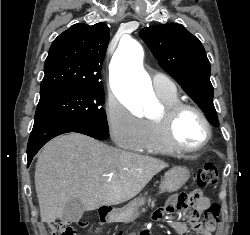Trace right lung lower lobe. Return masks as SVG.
Returning <instances> with one entry per match:
<instances>
[{"label": "right lung lower lobe", "mask_w": 250, "mask_h": 235, "mask_svg": "<svg viewBox=\"0 0 250 235\" xmlns=\"http://www.w3.org/2000/svg\"><path fill=\"white\" fill-rule=\"evenodd\" d=\"M68 132L82 133L96 139H107L108 131L73 120L61 118H43L34 121L27 146L28 166L34 155L50 139Z\"/></svg>", "instance_id": "98d812e1"}]
</instances>
